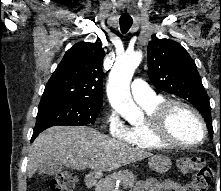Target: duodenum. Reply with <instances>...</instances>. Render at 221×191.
Wrapping results in <instances>:
<instances>
[{"mask_svg": "<svg viewBox=\"0 0 221 191\" xmlns=\"http://www.w3.org/2000/svg\"><path fill=\"white\" fill-rule=\"evenodd\" d=\"M97 180L96 175L94 174H88L85 179H84V186L85 187H90L92 186Z\"/></svg>", "mask_w": 221, "mask_h": 191, "instance_id": "1", "label": "duodenum"}]
</instances>
